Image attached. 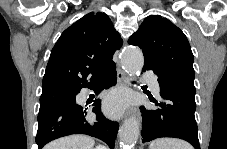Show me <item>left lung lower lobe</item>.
Segmentation results:
<instances>
[{
  "label": "left lung lower lobe",
  "mask_w": 227,
  "mask_h": 149,
  "mask_svg": "<svg viewBox=\"0 0 227 149\" xmlns=\"http://www.w3.org/2000/svg\"><path fill=\"white\" fill-rule=\"evenodd\" d=\"M153 70L158 76L162 101L156 110L140 107L142 113L143 142L160 137L183 139L200 149L195 120L196 103L193 93L177 86L165 78L153 66L144 65L143 71ZM151 102H155L151 100Z\"/></svg>",
  "instance_id": "0a47b994"
}]
</instances>
